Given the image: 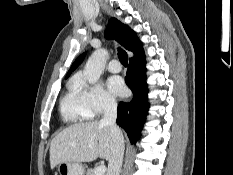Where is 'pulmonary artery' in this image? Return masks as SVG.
Masks as SVG:
<instances>
[{
    "label": "pulmonary artery",
    "mask_w": 233,
    "mask_h": 175,
    "mask_svg": "<svg viewBox=\"0 0 233 175\" xmlns=\"http://www.w3.org/2000/svg\"><path fill=\"white\" fill-rule=\"evenodd\" d=\"M108 69L112 73H118L121 71V64L117 59H113L108 64Z\"/></svg>",
    "instance_id": "pulmonary-artery-1"
}]
</instances>
